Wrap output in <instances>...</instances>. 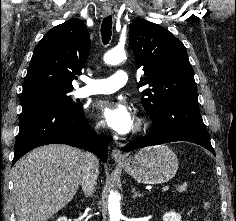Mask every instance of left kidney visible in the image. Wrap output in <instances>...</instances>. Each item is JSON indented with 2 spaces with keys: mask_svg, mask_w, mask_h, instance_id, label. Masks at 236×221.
Listing matches in <instances>:
<instances>
[{
  "mask_svg": "<svg viewBox=\"0 0 236 221\" xmlns=\"http://www.w3.org/2000/svg\"><path fill=\"white\" fill-rule=\"evenodd\" d=\"M163 221H182L181 215L176 212H166L163 215Z\"/></svg>",
  "mask_w": 236,
  "mask_h": 221,
  "instance_id": "obj_1",
  "label": "left kidney"
}]
</instances>
